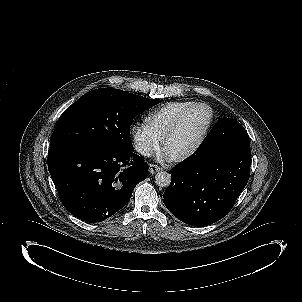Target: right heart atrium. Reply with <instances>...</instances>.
<instances>
[{"mask_svg":"<svg viewBox=\"0 0 302 302\" xmlns=\"http://www.w3.org/2000/svg\"><path fill=\"white\" fill-rule=\"evenodd\" d=\"M136 140L140 141L142 145L147 144L152 148L156 147L158 144L156 138L153 136L152 131L149 128H146L143 131L138 130Z\"/></svg>","mask_w":302,"mask_h":302,"instance_id":"d8ad5b80","label":"right heart atrium"}]
</instances>
